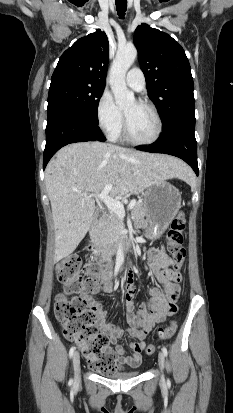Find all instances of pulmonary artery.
<instances>
[{
	"instance_id": "1",
	"label": "pulmonary artery",
	"mask_w": 233,
	"mask_h": 413,
	"mask_svg": "<svg viewBox=\"0 0 233 413\" xmlns=\"http://www.w3.org/2000/svg\"><path fill=\"white\" fill-rule=\"evenodd\" d=\"M126 83L133 90L142 91L146 84L143 72L137 67L130 69L126 75Z\"/></svg>"
}]
</instances>
